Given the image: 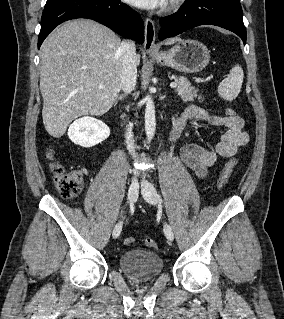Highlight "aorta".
Instances as JSON below:
<instances>
[{"label":"aorta","instance_id":"aorta-1","mask_svg":"<svg viewBox=\"0 0 284 319\" xmlns=\"http://www.w3.org/2000/svg\"><path fill=\"white\" fill-rule=\"evenodd\" d=\"M145 132L148 140H151L156 130L155 105L152 97L147 95L145 98Z\"/></svg>","mask_w":284,"mask_h":319}]
</instances>
